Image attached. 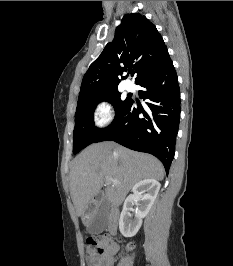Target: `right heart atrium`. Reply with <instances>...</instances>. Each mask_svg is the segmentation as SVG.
Returning a JSON list of instances; mask_svg holds the SVG:
<instances>
[{
	"label": "right heart atrium",
	"instance_id": "d8ad5b80",
	"mask_svg": "<svg viewBox=\"0 0 233 266\" xmlns=\"http://www.w3.org/2000/svg\"><path fill=\"white\" fill-rule=\"evenodd\" d=\"M114 119V108L107 99L100 100L93 111V122L98 128L108 126Z\"/></svg>",
	"mask_w": 233,
	"mask_h": 266
}]
</instances>
